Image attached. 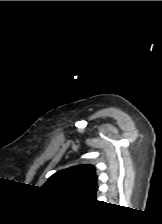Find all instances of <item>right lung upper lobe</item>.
I'll list each match as a JSON object with an SVG mask.
<instances>
[{
	"label": "right lung upper lobe",
	"instance_id": "right-lung-upper-lobe-1",
	"mask_svg": "<svg viewBox=\"0 0 162 224\" xmlns=\"http://www.w3.org/2000/svg\"><path fill=\"white\" fill-rule=\"evenodd\" d=\"M97 176L92 165H79L53 174L43 187L86 200H96Z\"/></svg>",
	"mask_w": 162,
	"mask_h": 224
}]
</instances>
